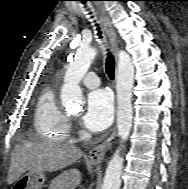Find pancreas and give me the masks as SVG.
<instances>
[{"instance_id": "pancreas-1", "label": "pancreas", "mask_w": 188, "mask_h": 189, "mask_svg": "<svg viewBox=\"0 0 188 189\" xmlns=\"http://www.w3.org/2000/svg\"><path fill=\"white\" fill-rule=\"evenodd\" d=\"M61 177L59 176L55 180L52 181V183L49 186V189H57L59 187L58 183L60 182Z\"/></svg>"}]
</instances>
